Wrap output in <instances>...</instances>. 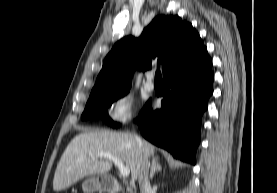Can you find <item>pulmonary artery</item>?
<instances>
[{"label":"pulmonary artery","instance_id":"obj_1","mask_svg":"<svg viewBox=\"0 0 277 193\" xmlns=\"http://www.w3.org/2000/svg\"><path fill=\"white\" fill-rule=\"evenodd\" d=\"M154 82H153V75L150 74L147 78V81L145 83V88L148 90V91H152L154 90Z\"/></svg>","mask_w":277,"mask_h":193}]
</instances>
